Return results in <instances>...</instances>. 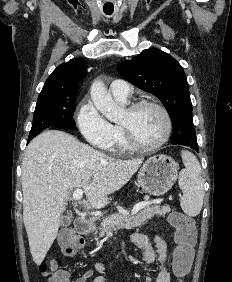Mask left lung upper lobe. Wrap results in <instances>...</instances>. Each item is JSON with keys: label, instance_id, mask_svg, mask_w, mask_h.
<instances>
[{"label": "left lung upper lobe", "instance_id": "1", "mask_svg": "<svg viewBox=\"0 0 232 282\" xmlns=\"http://www.w3.org/2000/svg\"><path fill=\"white\" fill-rule=\"evenodd\" d=\"M118 72L138 88L155 95L167 109L174 134L184 144H197L186 75L180 64L157 48L118 64Z\"/></svg>", "mask_w": 232, "mask_h": 282}]
</instances>
